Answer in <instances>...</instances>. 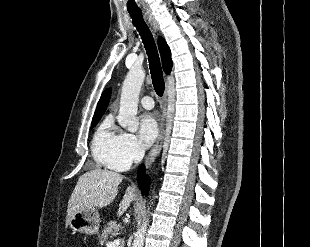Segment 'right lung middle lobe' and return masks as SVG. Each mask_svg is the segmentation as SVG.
<instances>
[{"instance_id":"1","label":"right lung middle lobe","mask_w":310,"mask_h":247,"mask_svg":"<svg viewBox=\"0 0 310 247\" xmlns=\"http://www.w3.org/2000/svg\"><path fill=\"white\" fill-rule=\"evenodd\" d=\"M101 117H102V116H99V117L94 118V119L92 120L91 127H94V126L98 123V121L100 120Z\"/></svg>"}]
</instances>
